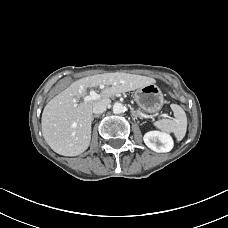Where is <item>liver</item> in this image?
Masks as SVG:
<instances>
[{"label": "liver", "mask_w": 228, "mask_h": 228, "mask_svg": "<svg viewBox=\"0 0 228 228\" xmlns=\"http://www.w3.org/2000/svg\"><path fill=\"white\" fill-rule=\"evenodd\" d=\"M154 83L156 80L153 78L123 72L97 74L76 80L45 106L41 118L45 141L60 155H80L89 147L92 112L98 101L110 102V97L115 94ZM97 86H103L100 98L85 102L87 89Z\"/></svg>", "instance_id": "liver-1"}]
</instances>
